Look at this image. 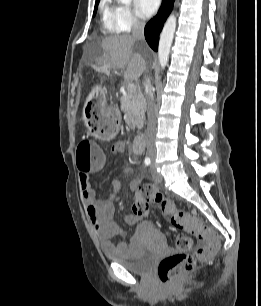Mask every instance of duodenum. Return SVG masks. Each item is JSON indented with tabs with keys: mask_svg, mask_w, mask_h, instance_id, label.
<instances>
[{
	"mask_svg": "<svg viewBox=\"0 0 261 306\" xmlns=\"http://www.w3.org/2000/svg\"><path fill=\"white\" fill-rule=\"evenodd\" d=\"M145 148V135L140 134L134 138L132 142V149L134 153H141Z\"/></svg>",
	"mask_w": 261,
	"mask_h": 306,
	"instance_id": "410a0bca",
	"label": "duodenum"
}]
</instances>
